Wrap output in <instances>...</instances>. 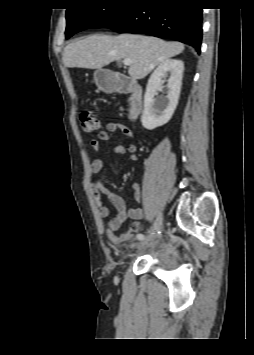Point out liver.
<instances>
[{"mask_svg": "<svg viewBox=\"0 0 254 355\" xmlns=\"http://www.w3.org/2000/svg\"><path fill=\"white\" fill-rule=\"evenodd\" d=\"M184 45L144 35H90L64 48L62 60L68 68L101 69L113 61L131 59L128 74L143 79L157 65L180 54Z\"/></svg>", "mask_w": 254, "mask_h": 355, "instance_id": "liver-1", "label": "liver"}]
</instances>
